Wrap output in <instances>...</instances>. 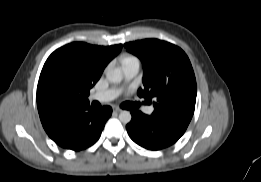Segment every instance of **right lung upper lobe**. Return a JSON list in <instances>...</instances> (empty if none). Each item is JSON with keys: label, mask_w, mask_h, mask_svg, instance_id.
Returning a JSON list of instances; mask_svg holds the SVG:
<instances>
[{"label": "right lung upper lobe", "mask_w": 261, "mask_h": 182, "mask_svg": "<svg viewBox=\"0 0 261 182\" xmlns=\"http://www.w3.org/2000/svg\"><path fill=\"white\" fill-rule=\"evenodd\" d=\"M122 45L96 46L73 42L46 60L37 87V107L51 139L57 138L76 114L90 108L88 95Z\"/></svg>", "instance_id": "cb5924a9"}]
</instances>
